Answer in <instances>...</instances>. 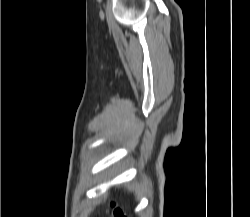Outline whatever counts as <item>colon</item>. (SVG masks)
<instances>
[{
	"instance_id": "obj_1",
	"label": "colon",
	"mask_w": 250,
	"mask_h": 217,
	"mask_svg": "<svg viewBox=\"0 0 250 217\" xmlns=\"http://www.w3.org/2000/svg\"><path fill=\"white\" fill-rule=\"evenodd\" d=\"M109 217H125V214L120 207L112 202L110 205Z\"/></svg>"
}]
</instances>
